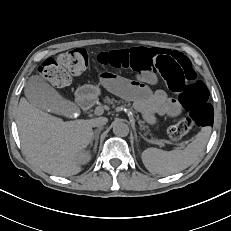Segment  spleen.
I'll list each match as a JSON object with an SVG mask.
<instances>
[{
  "mask_svg": "<svg viewBox=\"0 0 231 231\" xmlns=\"http://www.w3.org/2000/svg\"><path fill=\"white\" fill-rule=\"evenodd\" d=\"M210 134L211 127H203L183 150L163 151L157 148H148L142 153V162L152 174L165 176L183 171L201 156Z\"/></svg>",
  "mask_w": 231,
  "mask_h": 231,
  "instance_id": "1",
  "label": "spleen"
}]
</instances>
